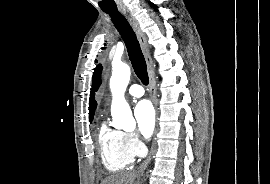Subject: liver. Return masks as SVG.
<instances>
[{
  "instance_id": "liver-1",
  "label": "liver",
  "mask_w": 270,
  "mask_h": 184,
  "mask_svg": "<svg viewBox=\"0 0 270 184\" xmlns=\"http://www.w3.org/2000/svg\"><path fill=\"white\" fill-rule=\"evenodd\" d=\"M135 173L111 175L103 180L101 184H133Z\"/></svg>"
}]
</instances>
